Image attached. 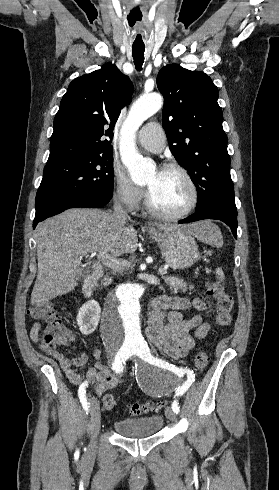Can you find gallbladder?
Returning a JSON list of instances; mask_svg holds the SVG:
<instances>
[{
    "label": "gallbladder",
    "mask_w": 279,
    "mask_h": 490,
    "mask_svg": "<svg viewBox=\"0 0 279 490\" xmlns=\"http://www.w3.org/2000/svg\"><path fill=\"white\" fill-rule=\"evenodd\" d=\"M88 274H89V272H88L87 268H84V270H83V276H88Z\"/></svg>",
    "instance_id": "gallbladder-1"
}]
</instances>
